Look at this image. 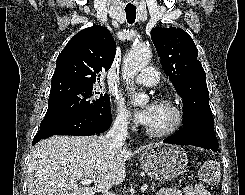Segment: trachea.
I'll list each match as a JSON object with an SVG mask.
<instances>
[{
    "instance_id": "1",
    "label": "trachea",
    "mask_w": 245,
    "mask_h": 195,
    "mask_svg": "<svg viewBox=\"0 0 245 195\" xmlns=\"http://www.w3.org/2000/svg\"><path fill=\"white\" fill-rule=\"evenodd\" d=\"M125 12H126L127 22L129 24L134 23L136 19V7H126Z\"/></svg>"
}]
</instances>
